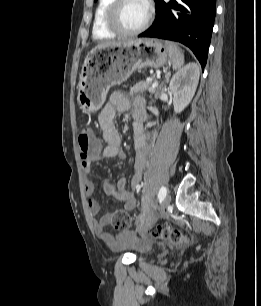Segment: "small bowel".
<instances>
[{"mask_svg": "<svg viewBox=\"0 0 261 306\" xmlns=\"http://www.w3.org/2000/svg\"><path fill=\"white\" fill-rule=\"evenodd\" d=\"M131 108L130 101L121 93H112L108 102L105 104L99 114V125L103 133L105 147L101 152L102 158L105 159H125L126 155L121 147V135L115 126V118L117 114L129 111ZM144 103L141 98L134 101V141L136 149V157L134 161V174L130 180V188L127 187L125 178H120L114 185L110 179H103L101 186L107 195L115 197L124 203L126 210H133L136 206L134 191L140 186L142 180V172L146 164L147 146L143 133L142 120L145 117ZM92 160L83 162V168L86 174L85 193L88 198V210L93 218V228L97 236L107 245L114 249L120 250L135 243L136 237L132 232H121L112 235L105 231V227L110 223L111 213H105L100 218H96L100 212V204L93 197L95 184L91 178L94 173Z\"/></svg>", "mask_w": 261, "mask_h": 306, "instance_id": "obj_1", "label": "small bowel"}]
</instances>
